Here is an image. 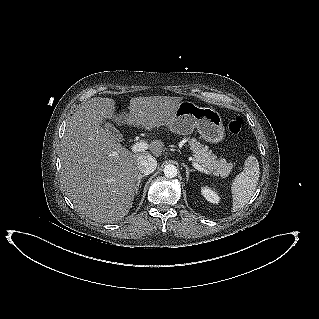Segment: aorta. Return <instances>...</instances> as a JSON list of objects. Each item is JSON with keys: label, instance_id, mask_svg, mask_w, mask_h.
Masks as SVG:
<instances>
[{"label": "aorta", "instance_id": "762f6f07", "mask_svg": "<svg viewBox=\"0 0 319 319\" xmlns=\"http://www.w3.org/2000/svg\"><path fill=\"white\" fill-rule=\"evenodd\" d=\"M164 174L167 178H174L177 176V168L172 164H168L164 167Z\"/></svg>", "mask_w": 319, "mask_h": 319}]
</instances>
